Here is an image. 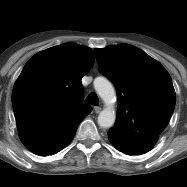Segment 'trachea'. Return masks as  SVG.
<instances>
[{
  "instance_id": "obj_1",
  "label": "trachea",
  "mask_w": 187,
  "mask_h": 187,
  "mask_svg": "<svg viewBox=\"0 0 187 187\" xmlns=\"http://www.w3.org/2000/svg\"><path fill=\"white\" fill-rule=\"evenodd\" d=\"M85 103L92 104L95 106H99V101L96 93H90L85 100Z\"/></svg>"
}]
</instances>
